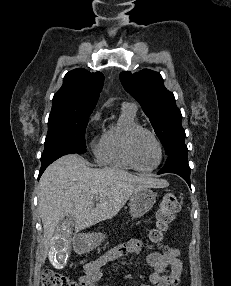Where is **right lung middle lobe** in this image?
<instances>
[{"mask_svg":"<svg viewBox=\"0 0 231 286\" xmlns=\"http://www.w3.org/2000/svg\"><path fill=\"white\" fill-rule=\"evenodd\" d=\"M92 111L52 110L41 161L62 153H85V130Z\"/></svg>","mask_w":231,"mask_h":286,"instance_id":"1","label":"right lung middle lobe"}]
</instances>
